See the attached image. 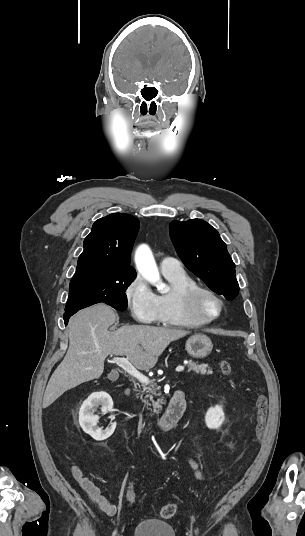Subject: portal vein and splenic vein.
I'll return each instance as SVG.
<instances>
[{"instance_id": "18ae733b", "label": "portal vein and splenic vein", "mask_w": 305, "mask_h": 536, "mask_svg": "<svg viewBox=\"0 0 305 536\" xmlns=\"http://www.w3.org/2000/svg\"><path fill=\"white\" fill-rule=\"evenodd\" d=\"M112 364H117V366H120V368H123L127 374H130V376H133V378H137L141 384H149V378L147 376H143V374H140L126 358H113V360H110ZM184 366H177L176 372H183ZM162 374V372H161Z\"/></svg>"}]
</instances>
